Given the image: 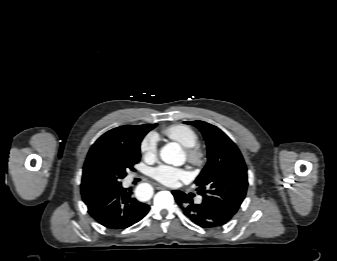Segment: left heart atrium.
Returning a JSON list of instances; mask_svg holds the SVG:
<instances>
[{
    "instance_id": "39dd6f15",
    "label": "left heart atrium",
    "mask_w": 337,
    "mask_h": 261,
    "mask_svg": "<svg viewBox=\"0 0 337 261\" xmlns=\"http://www.w3.org/2000/svg\"><path fill=\"white\" fill-rule=\"evenodd\" d=\"M151 176L160 183L175 186L179 181L187 180L188 173L180 168L169 165H159L150 172Z\"/></svg>"
}]
</instances>
